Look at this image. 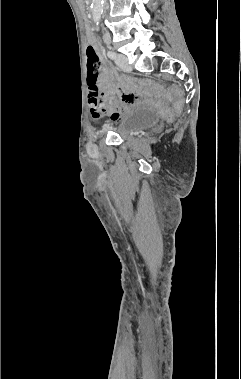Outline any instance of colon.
I'll list each match as a JSON object with an SVG mask.
<instances>
[{
	"label": "colon",
	"instance_id": "1",
	"mask_svg": "<svg viewBox=\"0 0 241 379\" xmlns=\"http://www.w3.org/2000/svg\"><path fill=\"white\" fill-rule=\"evenodd\" d=\"M86 65H87V81L89 83H97L98 73H99V57L93 45H88L86 49ZM143 100L137 103V108L145 109L148 104H151L154 107H157L162 115L166 118H172L175 114L179 113L183 107V101L180 98H157V102H154L155 95L149 94L148 91H143ZM172 95H175V91L172 92ZM105 99L108 102H118L121 94L118 92H106L104 94ZM152 102H151V101ZM131 102V101H129ZM138 102V101H135ZM151 102V103H150ZM168 104L173 105L172 107Z\"/></svg>",
	"mask_w": 241,
	"mask_h": 379
}]
</instances>
